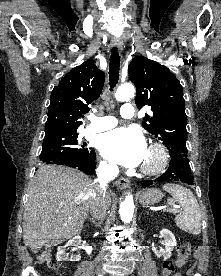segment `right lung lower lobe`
Listing matches in <instances>:
<instances>
[{"mask_svg": "<svg viewBox=\"0 0 221 276\" xmlns=\"http://www.w3.org/2000/svg\"><path fill=\"white\" fill-rule=\"evenodd\" d=\"M95 158H96V155L94 152L92 156H89L87 158L63 159V160L47 162L46 164L66 165L69 167L78 168L79 170L83 171L86 174H92L96 166Z\"/></svg>", "mask_w": 221, "mask_h": 276, "instance_id": "98d812e1", "label": "right lung lower lobe"}]
</instances>
